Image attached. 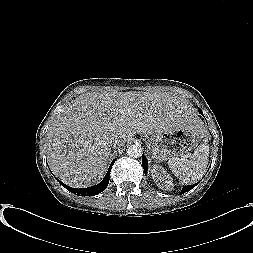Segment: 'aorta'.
Segmentation results:
<instances>
[{
  "instance_id": "1",
  "label": "aorta",
  "mask_w": 253,
  "mask_h": 253,
  "mask_svg": "<svg viewBox=\"0 0 253 253\" xmlns=\"http://www.w3.org/2000/svg\"><path fill=\"white\" fill-rule=\"evenodd\" d=\"M128 156L138 158L142 155V148L139 144L130 145L127 149Z\"/></svg>"
}]
</instances>
